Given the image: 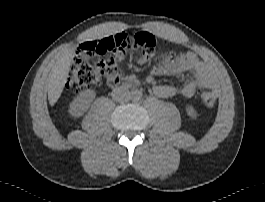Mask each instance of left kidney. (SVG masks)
<instances>
[{
  "label": "left kidney",
  "mask_w": 265,
  "mask_h": 202,
  "mask_svg": "<svg viewBox=\"0 0 265 202\" xmlns=\"http://www.w3.org/2000/svg\"><path fill=\"white\" fill-rule=\"evenodd\" d=\"M186 111H187V114L191 117V118H197L198 114L197 112L195 111L194 107L191 106V105H187L186 106Z\"/></svg>",
  "instance_id": "1"
}]
</instances>
